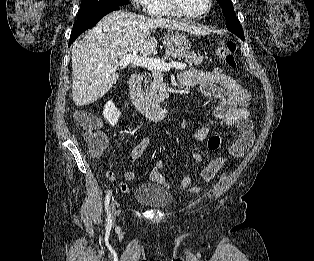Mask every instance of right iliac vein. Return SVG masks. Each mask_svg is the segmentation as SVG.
<instances>
[{"label":"right iliac vein","mask_w":314,"mask_h":261,"mask_svg":"<svg viewBox=\"0 0 314 261\" xmlns=\"http://www.w3.org/2000/svg\"><path fill=\"white\" fill-rule=\"evenodd\" d=\"M110 211H111V215H112V219L114 220L117 214L116 211V202L113 200L110 204Z\"/></svg>","instance_id":"63e3f726"}]
</instances>
